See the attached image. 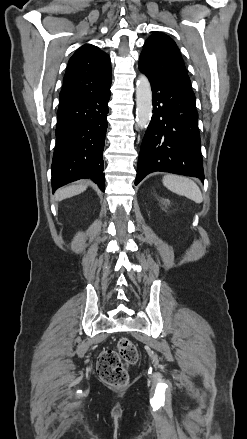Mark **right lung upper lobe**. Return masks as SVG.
<instances>
[{"label": "right lung upper lobe", "instance_id": "right-lung-upper-lobe-1", "mask_svg": "<svg viewBox=\"0 0 247 439\" xmlns=\"http://www.w3.org/2000/svg\"><path fill=\"white\" fill-rule=\"evenodd\" d=\"M111 84L110 57L98 47L85 44L70 58L59 102H64Z\"/></svg>", "mask_w": 247, "mask_h": 439}]
</instances>
